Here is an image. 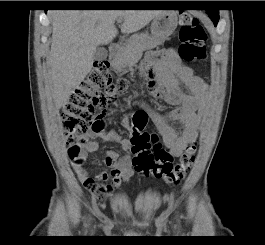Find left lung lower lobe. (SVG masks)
<instances>
[{
	"label": "left lung lower lobe",
	"instance_id": "left-lung-lower-lobe-1",
	"mask_svg": "<svg viewBox=\"0 0 265 245\" xmlns=\"http://www.w3.org/2000/svg\"><path fill=\"white\" fill-rule=\"evenodd\" d=\"M207 12H208L209 17L212 19L213 23L216 25L219 20L218 10L208 9Z\"/></svg>",
	"mask_w": 265,
	"mask_h": 245
}]
</instances>
